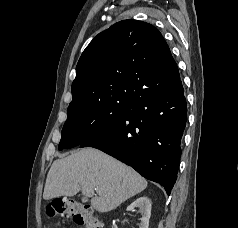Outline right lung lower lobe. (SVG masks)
Listing matches in <instances>:
<instances>
[{"instance_id":"obj_1","label":"right lung lower lobe","mask_w":238,"mask_h":228,"mask_svg":"<svg viewBox=\"0 0 238 228\" xmlns=\"http://www.w3.org/2000/svg\"><path fill=\"white\" fill-rule=\"evenodd\" d=\"M187 105L181 80L133 98L113 125L82 143L133 167L164 186L168 195L176 181Z\"/></svg>"}]
</instances>
